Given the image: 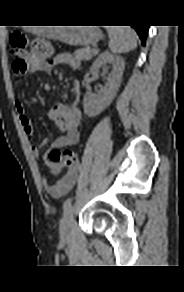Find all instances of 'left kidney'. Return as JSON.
Returning a JSON list of instances; mask_svg holds the SVG:
<instances>
[{
	"label": "left kidney",
	"mask_w": 184,
	"mask_h": 292,
	"mask_svg": "<svg viewBox=\"0 0 184 292\" xmlns=\"http://www.w3.org/2000/svg\"><path fill=\"white\" fill-rule=\"evenodd\" d=\"M111 64L112 71L107 77L106 85L98 94L86 92L83 99L84 113L88 117H95L106 109L114 99L121 85L122 75L125 68V61L122 57L109 52L100 54L90 68L93 76L98 74L99 68Z\"/></svg>",
	"instance_id": "5707ae66"
}]
</instances>
